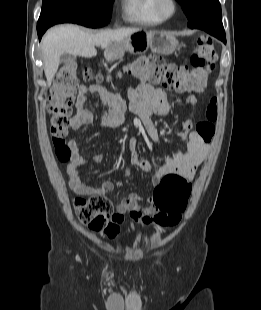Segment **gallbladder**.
<instances>
[{
    "instance_id": "1",
    "label": "gallbladder",
    "mask_w": 261,
    "mask_h": 310,
    "mask_svg": "<svg viewBox=\"0 0 261 310\" xmlns=\"http://www.w3.org/2000/svg\"><path fill=\"white\" fill-rule=\"evenodd\" d=\"M75 60L76 57L71 54H63L61 57V62L64 64H72L73 62H75Z\"/></svg>"
}]
</instances>
